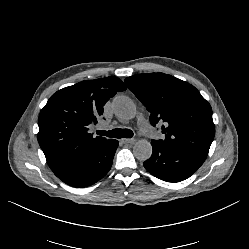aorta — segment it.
<instances>
[{
    "mask_svg": "<svg viewBox=\"0 0 249 249\" xmlns=\"http://www.w3.org/2000/svg\"><path fill=\"white\" fill-rule=\"evenodd\" d=\"M115 115L122 120H129L136 115V106L127 96H117L113 99ZM133 154L140 161L148 160L152 155V145L149 141L141 139L133 146Z\"/></svg>",
    "mask_w": 249,
    "mask_h": 249,
    "instance_id": "1",
    "label": "aorta"
}]
</instances>
